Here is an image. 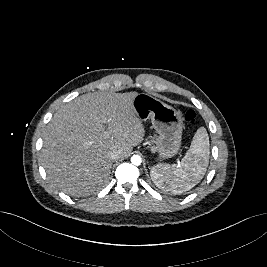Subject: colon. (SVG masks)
Listing matches in <instances>:
<instances>
[{"label":"colon","instance_id":"1","mask_svg":"<svg viewBox=\"0 0 267 267\" xmlns=\"http://www.w3.org/2000/svg\"><path fill=\"white\" fill-rule=\"evenodd\" d=\"M184 119L188 124H193L196 120V114L193 110H185Z\"/></svg>","mask_w":267,"mask_h":267}]
</instances>
